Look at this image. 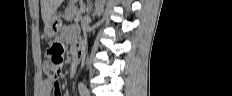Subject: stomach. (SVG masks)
<instances>
[{"mask_svg": "<svg viewBox=\"0 0 232 96\" xmlns=\"http://www.w3.org/2000/svg\"><path fill=\"white\" fill-rule=\"evenodd\" d=\"M61 19L58 15L54 14L49 23L45 26V33L48 37H53L57 34L61 27Z\"/></svg>", "mask_w": 232, "mask_h": 96, "instance_id": "1", "label": "stomach"}]
</instances>
